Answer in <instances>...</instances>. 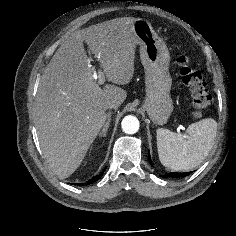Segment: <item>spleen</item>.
<instances>
[{
    "label": "spleen",
    "mask_w": 236,
    "mask_h": 236,
    "mask_svg": "<svg viewBox=\"0 0 236 236\" xmlns=\"http://www.w3.org/2000/svg\"><path fill=\"white\" fill-rule=\"evenodd\" d=\"M216 131L217 123L212 118L190 124L185 134L158 129L156 137L160 162L176 171L198 166L211 151Z\"/></svg>",
    "instance_id": "spleen-1"
}]
</instances>
